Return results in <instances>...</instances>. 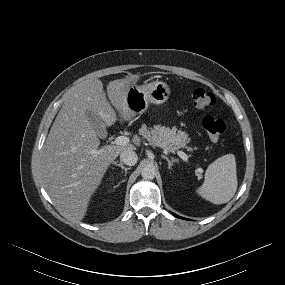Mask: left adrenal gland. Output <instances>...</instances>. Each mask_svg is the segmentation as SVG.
Listing matches in <instances>:
<instances>
[{
	"mask_svg": "<svg viewBox=\"0 0 285 285\" xmlns=\"http://www.w3.org/2000/svg\"><path fill=\"white\" fill-rule=\"evenodd\" d=\"M162 157H163V159H165V160L168 162V168L171 169V168H172V165H173V163L176 161V159L171 158V160H170V159H169L167 156H165V155H163Z\"/></svg>",
	"mask_w": 285,
	"mask_h": 285,
	"instance_id": "obj_1",
	"label": "left adrenal gland"
}]
</instances>
